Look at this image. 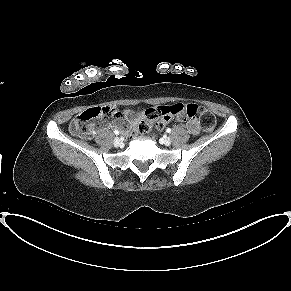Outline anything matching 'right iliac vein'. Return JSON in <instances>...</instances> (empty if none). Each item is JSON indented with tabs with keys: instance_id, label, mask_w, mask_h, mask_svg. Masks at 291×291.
<instances>
[{
	"instance_id": "obj_1",
	"label": "right iliac vein",
	"mask_w": 291,
	"mask_h": 291,
	"mask_svg": "<svg viewBox=\"0 0 291 291\" xmlns=\"http://www.w3.org/2000/svg\"><path fill=\"white\" fill-rule=\"evenodd\" d=\"M121 144H122V142L118 137L114 138L113 145L115 147H119Z\"/></svg>"
}]
</instances>
